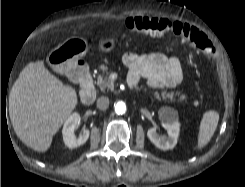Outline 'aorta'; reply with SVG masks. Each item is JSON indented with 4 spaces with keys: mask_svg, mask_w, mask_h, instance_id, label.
<instances>
[{
    "mask_svg": "<svg viewBox=\"0 0 245 187\" xmlns=\"http://www.w3.org/2000/svg\"><path fill=\"white\" fill-rule=\"evenodd\" d=\"M126 111V104L122 101L117 102V104L115 105V112L118 115H122L124 114Z\"/></svg>",
    "mask_w": 245,
    "mask_h": 187,
    "instance_id": "1",
    "label": "aorta"
}]
</instances>
